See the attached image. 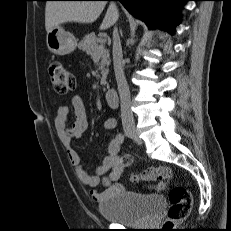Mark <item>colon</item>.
<instances>
[{"label": "colon", "instance_id": "1", "mask_svg": "<svg viewBox=\"0 0 231 231\" xmlns=\"http://www.w3.org/2000/svg\"><path fill=\"white\" fill-rule=\"evenodd\" d=\"M49 75L52 87L57 93L67 94L74 89V76L62 62H52L49 67ZM123 162L125 165H127L129 164L130 159L128 157H124ZM163 177L164 173L161 169H149L133 175L132 180H155L163 179ZM168 199L170 202V207L166 222L164 224L165 230H171L176 223L185 220L188 217L192 207L191 194L182 186H172L168 191Z\"/></svg>", "mask_w": 231, "mask_h": 231}]
</instances>
